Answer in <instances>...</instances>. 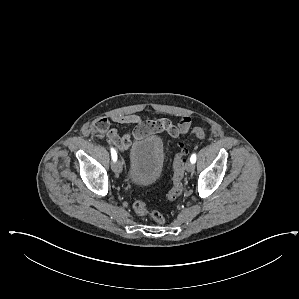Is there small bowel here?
<instances>
[{
	"label": "small bowel",
	"mask_w": 299,
	"mask_h": 299,
	"mask_svg": "<svg viewBox=\"0 0 299 299\" xmlns=\"http://www.w3.org/2000/svg\"><path fill=\"white\" fill-rule=\"evenodd\" d=\"M111 119L115 123L135 126L132 133L125 135H120L116 128H108L106 131L108 141L122 152L129 149L132 138L141 139L163 131L171 137L177 138L186 134L193 125V118L190 116H183L178 121L161 119L147 123H142L140 116L135 114H115Z\"/></svg>",
	"instance_id": "c3829d8e"
}]
</instances>
